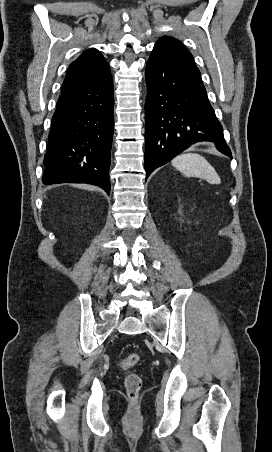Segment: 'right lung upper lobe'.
<instances>
[{
  "instance_id": "obj_1",
  "label": "right lung upper lobe",
  "mask_w": 272,
  "mask_h": 452,
  "mask_svg": "<svg viewBox=\"0 0 272 452\" xmlns=\"http://www.w3.org/2000/svg\"><path fill=\"white\" fill-rule=\"evenodd\" d=\"M110 76L109 65L101 53L89 49L70 64L61 95L98 85Z\"/></svg>"
}]
</instances>
